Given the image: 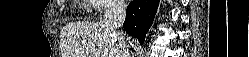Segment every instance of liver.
<instances>
[{
	"label": "liver",
	"mask_w": 249,
	"mask_h": 57,
	"mask_svg": "<svg viewBox=\"0 0 249 57\" xmlns=\"http://www.w3.org/2000/svg\"><path fill=\"white\" fill-rule=\"evenodd\" d=\"M63 57H121L118 38L102 23H69L61 30Z\"/></svg>",
	"instance_id": "obj_1"
}]
</instances>
